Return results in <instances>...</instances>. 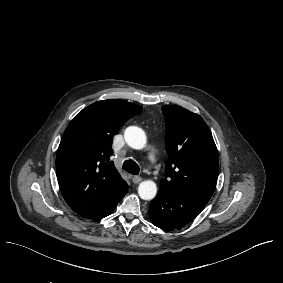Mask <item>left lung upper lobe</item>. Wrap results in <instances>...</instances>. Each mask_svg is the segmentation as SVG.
<instances>
[{
    "label": "left lung upper lobe",
    "mask_w": 283,
    "mask_h": 283,
    "mask_svg": "<svg viewBox=\"0 0 283 283\" xmlns=\"http://www.w3.org/2000/svg\"><path fill=\"white\" fill-rule=\"evenodd\" d=\"M166 125V178L160 190L207 203L219 173L217 148L205 121L180 106H163Z\"/></svg>",
    "instance_id": "obj_1"
}]
</instances>
